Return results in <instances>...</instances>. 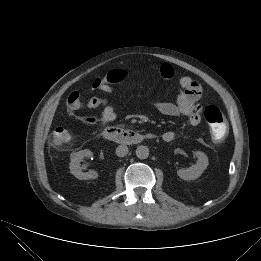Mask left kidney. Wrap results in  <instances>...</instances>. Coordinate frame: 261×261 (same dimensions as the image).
Instances as JSON below:
<instances>
[{
	"mask_svg": "<svg viewBox=\"0 0 261 261\" xmlns=\"http://www.w3.org/2000/svg\"><path fill=\"white\" fill-rule=\"evenodd\" d=\"M194 154L198 158L196 164L187 169H180L177 171V175L183 180L189 181L199 178L209 164L208 157L205 153L196 151Z\"/></svg>",
	"mask_w": 261,
	"mask_h": 261,
	"instance_id": "obj_1",
	"label": "left kidney"
}]
</instances>
